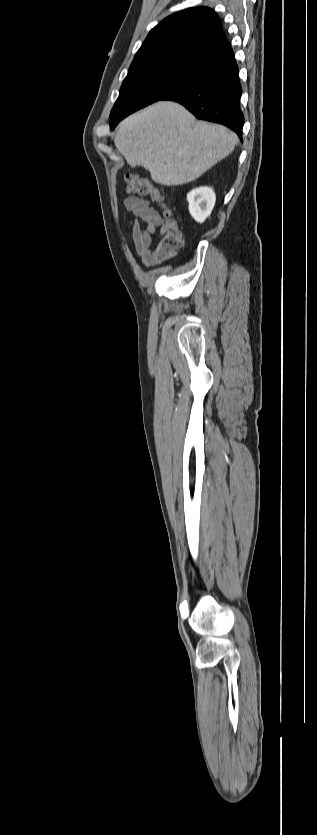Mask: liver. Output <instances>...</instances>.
I'll use <instances>...</instances> for the list:
<instances>
[{
    "mask_svg": "<svg viewBox=\"0 0 317 835\" xmlns=\"http://www.w3.org/2000/svg\"><path fill=\"white\" fill-rule=\"evenodd\" d=\"M114 143L128 164L170 186L201 176L234 150L238 137L225 126L196 121L178 103L159 101L124 119Z\"/></svg>",
    "mask_w": 317,
    "mask_h": 835,
    "instance_id": "liver-1",
    "label": "liver"
}]
</instances>
